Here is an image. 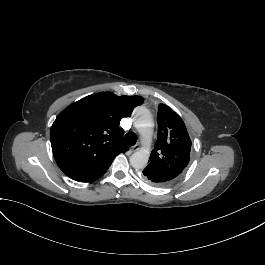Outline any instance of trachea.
Returning <instances> with one entry per match:
<instances>
[{
    "label": "trachea",
    "mask_w": 265,
    "mask_h": 265,
    "mask_svg": "<svg viewBox=\"0 0 265 265\" xmlns=\"http://www.w3.org/2000/svg\"><path fill=\"white\" fill-rule=\"evenodd\" d=\"M137 141V136L135 133L133 132H130V133H127L125 136H124V143L128 146H133L135 145Z\"/></svg>",
    "instance_id": "obj_1"
}]
</instances>
